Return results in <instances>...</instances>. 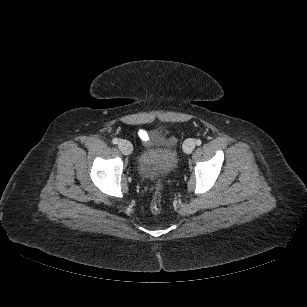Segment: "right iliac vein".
<instances>
[{"label": "right iliac vein", "mask_w": 307, "mask_h": 307, "mask_svg": "<svg viewBox=\"0 0 307 307\" xmlns=\"http://www.w3.org/2000/svg\"><path fill=\"white\" fill-rule=\"evenodd\" d=\"M118 148L124 155H130L133 149L131 143L127 140H121L118 143Z\"/></svg>", "instance_id": "1"}]
</instances>
